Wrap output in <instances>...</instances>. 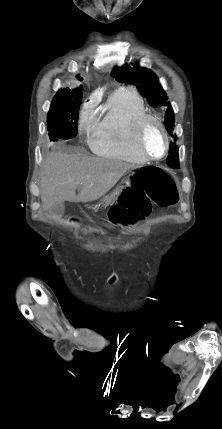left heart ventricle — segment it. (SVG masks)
Segmentation results:
<instances>
[{
    "mask_svg": "<svg viewBox=\"0 0 222 429\" xmlns=\"http://www.w3.org/2000/svg\"><path fill=\"white\" fill-rule=\"evenodd\" d=\"M143 146L153 157H160L165 150V139L159 127L149 122L143 133Z\"/></svg>",
    "mask_w": 222,
    "mask_h": 429,
    "instance_id": "1",
    "label": "left heart ventricle"
}]
</instances>
